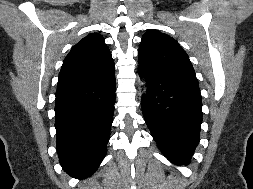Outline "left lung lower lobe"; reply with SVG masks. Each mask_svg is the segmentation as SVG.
Segmentation results:
<instances>
[{"label": "left lung lower lobe", "instance_id": "obj_1", "mask_svg": "<svg viewBox=\"0 0 253 189\" xmlns=\"http://www.w3.org/2000/svg\"><path fill=\"white\" fill-rule=\"evenodd\" d=\"M147 92L142 96L144 119L159 149L173 163L188 164L198 145L202 123L199 86L185 80L151 73L141 66Z\"/></svg>", "mask_w": 253, "mask_h": 189}]
</instances>
